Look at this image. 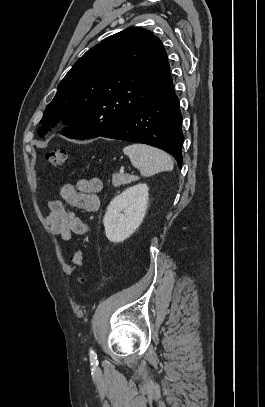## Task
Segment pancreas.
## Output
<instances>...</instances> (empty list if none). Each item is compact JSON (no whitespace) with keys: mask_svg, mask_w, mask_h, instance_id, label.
<instances>
[{"mask_svg":"<svg viewBox=\"0 0 265 407\" xmlns=\"http://www.w3.org/2000/svg\"><path fill=\"white\" fill-rule=\"evenodd\" d=\"M139 177L133 176V175H128V174H120V173H114L112 175V184L114 187H120L122 185H127L132 182L138 181Z\"/></svg>","mask_w":265,"mask_h":407,"instance_id":"obj_1","label":"pancreas"}]
</instances>
